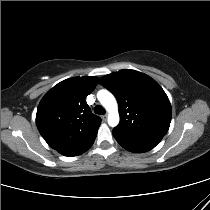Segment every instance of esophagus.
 I'll return each mask as SVG.
<instances>
[{
  "mask_svg": "<svg viewBox=\"0 0 210 210\" xmlns=\"http://www.w3.org/2000/svg\"><path fill=\"white\" fill-rule=\"evenodd\" d=\"M101 118H102L103 121H106L107 120V115L106 114L102 115Z\"/></svg>",
  "mask_w": 210,
  "mask_h": 210,
  "instance_id": "obj_1",
  "label": "esophagus"
}]
</instances>
